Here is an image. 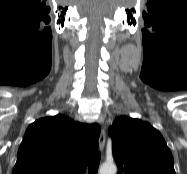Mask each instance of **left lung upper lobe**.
<instances>
[{
    "label": "left lung upper lobe",
    "instance_id": "5c2ea615",
    "mask_svg": "<svg viewBox=\"0 0 187 174\" xmlns=\"http://www.w3.org/2000/svg\"><path fill=\"white\" fill-rule=\"evenodd\" d=\"M109 135L118 174H175L171 151L149 123L121 116Z\"/></svg>",
    "mask_w": 187,
    "mask_h": 174
}]
</instances>
